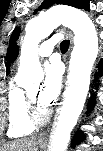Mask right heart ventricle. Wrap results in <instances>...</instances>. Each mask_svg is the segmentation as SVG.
I'll return each instance as SVG.
<instances>
[{
	"instance_id": "1",
	"label": "right heart ventricle",
	"mask_w": 103,
	"mask_h": 151,
	"mask_svg": "<svg viewBox=\"0 0 103 151\" xmlns=\"http://www.w3.org/2000/svg\"><path fill=\"white\" fill-rule=\"evenodd\" d=\"M9 128L7 134L11 138H19L32 134L35 124L30 120L27 95L23 88L10 81L8 91Z\"/></svg>"
}]
</instances>
